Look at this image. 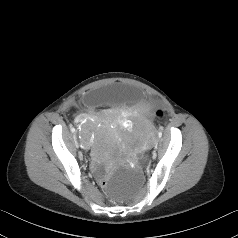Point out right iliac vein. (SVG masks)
Wrapping results in <instances>:
<instances>
[{"instance_id":"1","label":"right iliac vein","mask_w":238,"mask_h":238,"mask_svg":"<svg viewBox=\"0 0 238 238\" xmlns=\"http://www.w3.org/2000/svg\"><path fill=\"white\" fill-rule=\"evenodd\" d=\"M73 139H74V145L76 146V149H79L78 143H77V136L73 135Z\"/></svg>"}]
</instances>
